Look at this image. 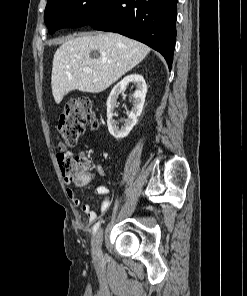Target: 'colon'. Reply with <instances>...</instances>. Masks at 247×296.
Returning <instances> with one entry per match:
<instances>
[{"label": "colon", "instance_id": "1", "mask_svg": "<svg viewBox=\"0 0 247 296\" xmlns=\"http://www.w3.org/2000/svg\"><path fill=\"white\" fill-rule=\"evenodd\" d=\"M87 126L99 127V119L88 98H77L66 103L60 115L58 133L60 136V152L58 163L68 181L86 184L90 181L89 163L84 154L72 156L64 149L77 145Z\"/></svg>", "mask_w": 247, "mask_h": 296}]
</instances>
